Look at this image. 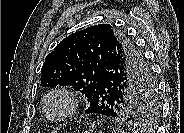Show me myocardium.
Instances as JSON below:
<instances>
[{"instance_id": "1", "label": "myocardium", "mask_w": 184, "mask_h": 133, "mask_svg": "<svg viewBox=\"0 0 184 133\" xmlns=\"http://www.w3.org/2000/svg\"><path fill=\"white\" fill-rule=\"evenodd\" d=\"M56 98H60L64 102L63 110L57 115H50L48 106L50 102ZM79 108V100L77 95L70 89L65 87L55 88L50 91L43 100L42 110L46 118L52 122H62L72 117Z\"/></svg>"}]
</instances>
